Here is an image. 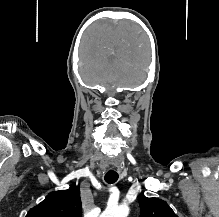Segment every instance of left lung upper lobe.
Wrapping results in <instances>:
<instances>
[{"mask_svg":"<svg viewBox=\"0 0 219 217\" xmlns=\"http://www.w3.org/2000/svg\"><path fill=\"white\" fill-rule=\"evenodd\" d=\"M141 209L140 217H177L168 204L158 198H147L143 194L139 196Z\"/></svg>","mask_w":219,"mask_h":217,"instance_id":"obj_1","label":"left lung upper lobe"}]
</instances>
